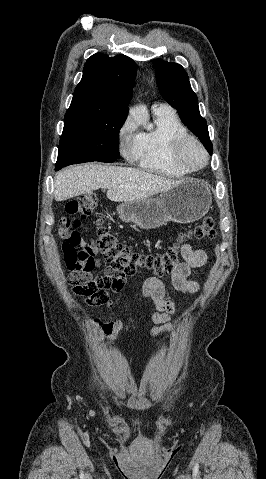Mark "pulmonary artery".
<instances>
[{"mask_svg":"<svg viewBox=\"0 0 266 479\" xmlns=\"http://www.w3.org/2000/svg\"><path fill=\"white\" fill-rule=\"evenodd\" d=\"M155 110H169L170 107L164 103H158L153 107Z\"/></svg>","mask_w":266,"mask_h":479,"instance_id":"1","label":"pulmonary artery"}]
</instances>
